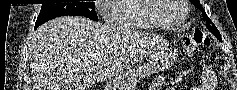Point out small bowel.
I'll use <instances>...</instances> for the list:
<instances>
[{
    "instance_id": "small-bowel-1",
    "label": "small bowel",
    "mask_w": 237,
    "mask_h": 90,
    "mask_svg": "<svg viewBox=\"0 0 237 90\" xmlns=\"http://www.w3.org/2000/svg\"><path fill=\"white\" fill-rule=\"evenodd\" d=\"M164 83L165 77L163 75H156L149 90H162ZM215 87L216 75L210 68L204 67L200 76L199 85L192 87L190 90H215Z\"/></svg>"
}]
</instances>
